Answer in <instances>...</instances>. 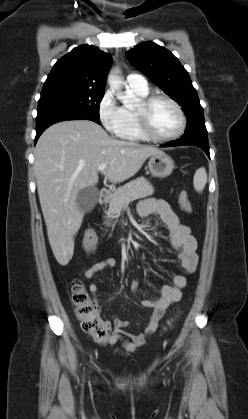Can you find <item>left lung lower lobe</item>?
Wrapping results in <instances>:
<instances>
[{"label": "left lung lower lobe", "mask_w": 248, "mask_h": 419, "mask_svg": "<svg viewBox=\"0 0 248 419\" xmlns=\"http://www.w3.org/2000/svg\"><path fill=\"white\" fill-rule=\"evenodd\" d=\"M181 145L198 146L207 154L208 157H210L209 146H208V134H207L206 128L196 129L189 133H185V135L182 138L163 144L161 146L170 147V146H181Z\"/></svg>", "instance_id": "0a47b994"}]
</instances>
